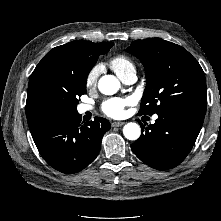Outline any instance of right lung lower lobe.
<instances>
[{
	"label": "right lung lower lobe",
	"mask_w": 221,
	"mask_h": 221,
	"mask_svg": "<svg viewBox=\"0 0 221 221\" xmlns=\"http://www.w3.org/2000/svg\"><path fill=\"white\" fill-rule=\"evenodd\" d=\"M36 147L43 159L54 169L76 173L98 156L102 137L110 129L108 120L95 117L81 123V115L52 110L28 118Z\"/></svg>",
	"instance_id": "1"
}]
</instances>
